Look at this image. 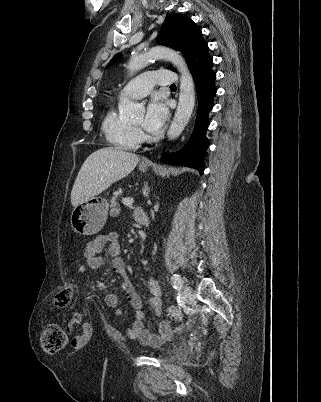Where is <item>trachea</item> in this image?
<instances>
[{"label": "trachea", "mask_w": 321, "mask_h": 402, "mask_svg": "<svg viewBox=\"0 0 321 402\" xmlns=\"http://www.w3.org/2000/svg\"><path fill=\"white\" fill-rule=\"evenodd\" d=\"M170 87H176V85H175V84H172Z\"/></svg>", "instance_id": "3493384b"}]
</instances>
